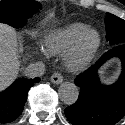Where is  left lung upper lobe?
<instances>
[{"instance_id": "obj_1", "label": "left lung upper lobe", "mask_w": 125, "mask_h": 125, "mask_svg": "<svg viewBox=\"0 0 125 125\" xmlns=\"http://www.w3.org/2000/svg\"><path fill=\"white\" fill-rule=\"evenodd\" d=\"M105 28L106 39L110 44H125V20L107 13Z\"/></svg>"}]
</instances>
